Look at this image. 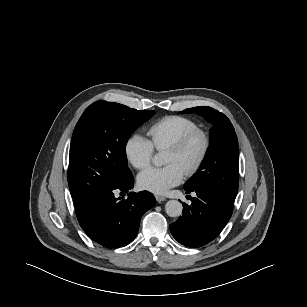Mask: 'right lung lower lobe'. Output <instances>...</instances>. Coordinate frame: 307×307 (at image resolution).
Segmentation results:
<instances>
[{"mask_svg": "<svg viewBox=\"0 0 307 307\" xmlns=\"http://www.w3.org/2000/svg\"><path fill=\"white\" fill-rule=\"evenodd\" d=\"M131 174L122 184L96 194L75 205L80 226L94 241L107 248H117L132 242L139 229L142 215L156 200L152 193L131 192L127 199L116 198V191L128 192L133 188Z\"/></svg>", "mask_w": 307, "mask_h": 307, "instance_id": "1", "label": "right lung lower lobe"}]
</instances>
